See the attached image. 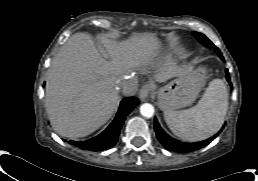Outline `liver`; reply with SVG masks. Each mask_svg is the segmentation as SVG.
<instances>
[{
    "label": "liver",
    "instance_id": "6515ba94",
    "mask_svg": "<svg viewBox=\"0 0 258 181\" xmlns=\"http://www.w3.org/2000/svg\"><path fill=\"white\" fill-rule=\"evenodd\" d=\"M111 61L102 57L91 37L72 35L47 72L45 108L53 129L62 137H85L105 124L119 101L118 81L136 70L156 69L154 79L165 82L192 71L167 54L154 61L159 42L152 35H134L118 41L99 38Z\"/></svg>",
    "mask_w": 258,
    "mask_h": 181
}]
</instances>
